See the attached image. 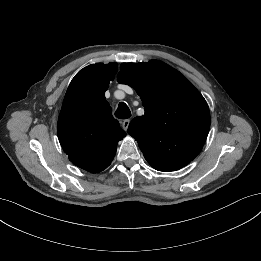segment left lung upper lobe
Returning a JSON list of instances; mask_svg holds the SVG:
<instances>
[{
	"instance_id": "1",
	"label": "left lung upper lobe",
	"mask_w": 261,
	"mask_h": 261,
	"mask_svg": "<svg viewBox=\"0 0 261 261\" xmlns=\"http://www.w3.org/2000/svg\"><path fill=\"white\" fill-rule=\"evenodd\" d=\"M117 80L141 97L145 116L134 118L128 133L148 163L159 171H175L201 151L210 128L207 102L177 70L151 60L122 63Z\"/></svg>"
}]
</instances>
